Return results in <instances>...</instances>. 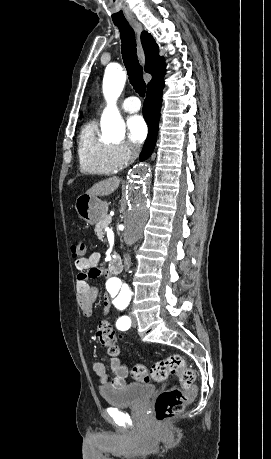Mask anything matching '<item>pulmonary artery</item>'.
I'll list each match as a JSON object with an SVG mask.
<instances>
[{
    "mask_svg": "<svg viewBox=\"0 0 271 459\" xmlns=\"http://www.w3.org/2000/svg\"><path fill=\"white\" fill-rule=\"evenodd\" d=\"M122 109L126 112L129 113H135L138 112L141 109V103L138 100L137 97L132 96L128 97L123 103H122Z\"/></svg>",
    "mask_w": 271,
    "mask_h": 459,
    "instance_id": "1",
    "label": "pulmonary artery"
}]
</instances>
